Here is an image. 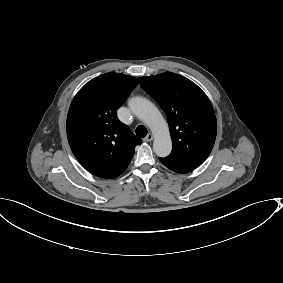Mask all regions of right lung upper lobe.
Returning <instances> with one entry per match:
<instances>
[{"instance_id": "1", "label": "right lung upper lobe", "mask_w": 283, "mask_h": 283, "mask_svg": "<svg viewBox=\"0 0 283 283\" xmlns=\"http://www.w3.org/2000/svg\"><path fill=\"white\" fill-rule=\"evenodd\" d=\"M138 80L106 73L86 83L74 97L67 116V137L80 164L101 178H115L128 167L142 143L117 118Z\"/></svg>"}]
</instances>
